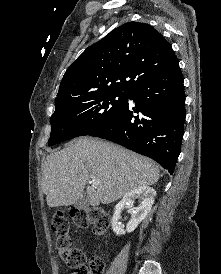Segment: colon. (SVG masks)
I'll use <instances>...</instances> for the list:
<instances>
[{
	"mask_svg": "<svg viewBox=\"0 0 221 274\" xmlns=\"http://www.w3.org/2000/svg\"><path fill=\"white\" fill-rule=\"evenodd\" d=\"M70 218L78 229L91 227L95 236H103L109 226L108 213L99 207L73 209ZM52 230L56 235V245L64 264L73 269V274H103L104 264L99 258H91L88 266L81 249L72 246L69 238V220L63 212H57L52 217Z\"/></svg>",
	"mask_w": 221,
	"mask_h": 274,
	"instance_id": "colon-1",
	"label": "colon"
}]
</instances>
